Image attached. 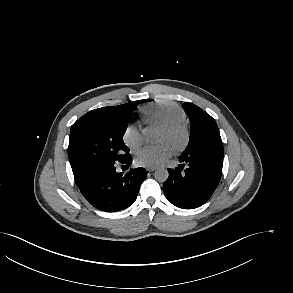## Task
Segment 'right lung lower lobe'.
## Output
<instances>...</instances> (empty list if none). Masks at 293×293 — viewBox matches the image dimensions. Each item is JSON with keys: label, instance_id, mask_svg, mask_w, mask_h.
I'll use <instances>...</instances> for the list:
<instances>
[{"label": "right lung lower lobe", "instance_id": "right-lung-lower-lobe-1", "mask_svg": "<svg viewBox=\"0 0 293 293\" xmlns=\"http://www.w3.org/2000/svg\"><path fill=\"white\" fill-rule=\"evenodd\" d=\"M121 163L128 166L132 159L129 156ZM146 175L144 168L131 169L123 175L116 172L115 163L108 164L91 173L78 188L92 206L102 211L116 212L129 207L136 200Z\"/></svg>", "mask_w": 293, "mask_h": 293}]
</instances>
